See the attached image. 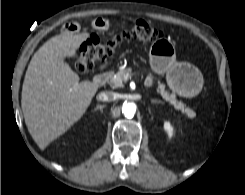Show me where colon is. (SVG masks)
<instances>
[{
	"label": "colon",
	"mask_w": 245,
	"mask_h": 195,
	"mask_svg": "<svg viewBox=\"0 0 245 195\" xmlns=\"http://www.w3.org/2000/svg\"><path fill=\"white\" fill-rule=\"evenodd\" d=\"M160 32L144 20H137L130 29L123 30L112 39L102 41L98 36L92 37L82 44L74 58V69L85 73L97 65L104 63L113 53L117 45L134 38L142 44L156 40Z\"/></svg>",
	"instance_id": "obj_1"
}]
</instances>
